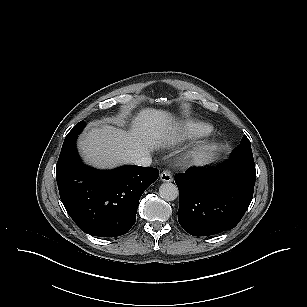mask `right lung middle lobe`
I'll list each match as a JSON object with an SVG mask.
<instances>
[{
    "instance_id": "dd1d6c3e",
    "label": "right lung middle lobe",
    "mask_w": 307,
    "mask_h": 307,
    "mask_svg": "<svg viewBox=\"0 0 307 307\" xmlns=\"http://www.w3.org/2000/svg\"><path fill=\"white\" fill-rule=\"evenodd\" d=\"M85 122L81 121L79 122L78 124H76L72 130L67 134L66 138L67 139L68 137H71L73 135H78L82 132L83 128L85 127Z\"/></svg>"
}]
</instances>
